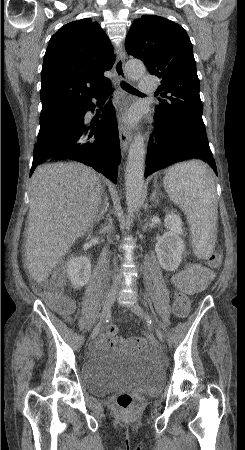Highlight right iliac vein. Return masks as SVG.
<instances>
[{"label":"right iliac vein","mask_w":245,"mask_h":450,"mask_svg":"<svg viewBox=\"0 0 245 450\" xmlns=\"http://www.w3.org/2000/svg\"><path fill=\"white\" fill-rule=\"evenodd\" d=\"M116 292H117V287L113 286L110 291L108 292L104 304H103V308H102V312L100 315V321L99 323L94 327L92 333H91V338L95 339L96 336L98 335L102 322L104 321L105 317L107 316V314L109 313L110 309L112 308L115 298H116Z\"/></svg>","instance_id":"right-iliac-vein-1"}]
</instances>
